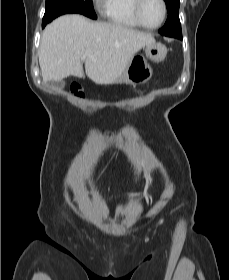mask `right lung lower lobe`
I'll return each instance as SVG.
<instances>
[{"label":"right lung lower lobe","mask_w":229,"mask_h":280,"mask_svg":"<svg viewBox=\"0 0 229 280\" xmlns=\"http://www.w3.org/2000/svg\"><path fill=\"white\" fill-rule=\"evenodd\" d=\"M47 22H44L42 23V27L44 28L46 26Z\"/></svg>","instance_id":"obj_1"}]
</instances>
